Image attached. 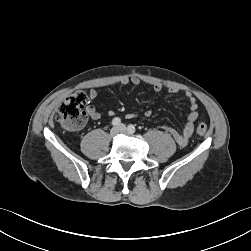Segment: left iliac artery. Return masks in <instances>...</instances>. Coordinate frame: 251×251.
<instances>
[{"instance_id": "obj_1", "label": "left iliac artery", "mask_w": 251, "mask_h": 251, "mask_svg": "<svg viewBox=\"0 0 251 251\" xmlns=\"http://www.w3.org/2000/svg\"><path fill=\"white\" fill-rule=\"evenodd\" d=\"M128 130H129L131 133H134V132L136 131L135 126L132 125V124H130V125L128 126Z\"/></svg>"}]
</instances>
